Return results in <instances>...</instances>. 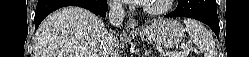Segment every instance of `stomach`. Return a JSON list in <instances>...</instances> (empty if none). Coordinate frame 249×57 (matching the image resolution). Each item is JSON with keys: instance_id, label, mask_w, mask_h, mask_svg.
I'll return each instance as SVG.
<instances>
[{"instance_id": "stomach-1", "label": "stomach", "mask_w": 249, "mask_h": 57, "mask_svg": "<svg viewBox=\"0 0 249 57\" xmlns=\"http://www.w3.org/2000/svg\"><path fill=\"white\" fill-rule=\"evenodd\" d=\"M184 33L185 29L178 20L160 19L150 23L137 34L146 43L171 48L182 41Z\"/></svg>"}]
</instances>
